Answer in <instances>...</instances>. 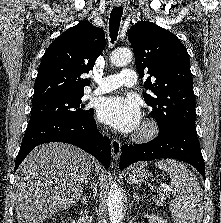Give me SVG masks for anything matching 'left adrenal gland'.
Here are the masks:
<instances>
[{
	"label": "left adrenal gland",
	"instance_id": "a2214340",
	"mask_svg": "<svg viewBox=\"0 0 221 223\" xmlns=\"http://www.w3.org/2000/svg\"><path fill=\"white\" fill-rule=\"evenodd\" d=\"M132 195H133L132 203H135V202L139 201L141 198H143V197H139V196L137 195V193L134 192V191H133Z\"/></svg>",
	"mask_w": 221,
	"mask_h": 223
}]
</instances>
